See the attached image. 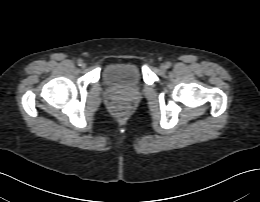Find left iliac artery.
Here are the masks:
<instances>
[{"label": "left iliac artery", "instance_id": "obj_1", "mask_svg": "<svg viewBox=\"0 0 260 202\" xmlns=\"http://www.w3.org/2000/svg\"><path fill=\"white\" fill-rule=\"evenodd\" d=\"M165 66H166V68H170L171 67V63L170 62H166Z\"/></svg>", "mask_w": 260, "mask_h": 202}]
</instances>
